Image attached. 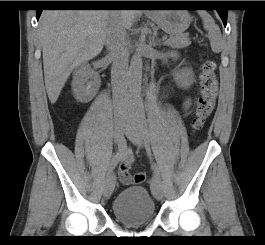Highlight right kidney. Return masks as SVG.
<instances>
[{
  "mask_svg": "<svg viewBox=\"0 0 265 245\" xmlns=\"http://www.w3.org/2000/svg\"><path fill=\"white\" fill-rule=\"evenodd\" d=\"M101 85L99 75L89 64H82L78 67L72 80V90L75 98L80 102H89L97 94Z\"/></svg>",
  "mask_w": 265,
  "mask_h": 245,
  "instance_id": "right-kidney-1",
  "label": "right kidney"
}]
</instances>
